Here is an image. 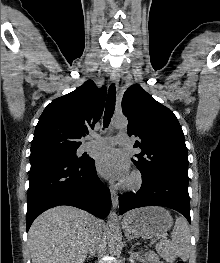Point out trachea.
<instances>
[{"mask_svg":"<svg viewBox=\"0 0 220 263\" xmlns=\"http://www.w3.org/2000/svg\"><path fill=\"white\" fill-rule=\"evenodd\" d=\"M115 101H116V87L114 84H111L108 90L106 107L104 113V128H107L110 124L111 118L115 110Z\"/></svg>","mask_w":220,"mask_h":263,"instance_id":"trachea-1","label":"trachea"}]
</instances>
